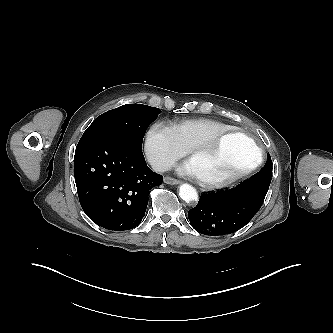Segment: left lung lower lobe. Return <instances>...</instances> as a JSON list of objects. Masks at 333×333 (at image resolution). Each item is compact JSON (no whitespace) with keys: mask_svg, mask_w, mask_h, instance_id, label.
<instances>
[{"mask_svg":"<svg viewBox=\"0 0 333 333\" xmlns=\"http://www.w3.org/2000/svg\"><path fill=\"white\" fill-rule=\"evenodd\" d=\"M271 174L252 176L235 188L204 193L188 217L195 230L220 236L245 226L262 206L271 182Z\"/></svg>","mask_w":333,"mask_h":333,"instance_id":"obj_1","label":"left lung lower lobe"}]
</instances>
